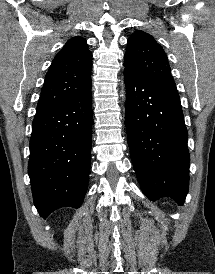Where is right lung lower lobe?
<instances>
[{
  "label": "right lung lower lobe",
  "instance_id": "obj_1",
  "mask_svg": "<svg viewBox=\"0 0 215 274\" xmlns=\"http://www.w3.org/2000/svg\"><path fill=\"white\" fill-rule=\"evenodd\" d=\"M91 134V85L60 104L36 111L28 174L40 216L81 206L89 179Z\"/></svg>",
  "mask_w": 215,
  "mask_h": 274
}]
</instances>
